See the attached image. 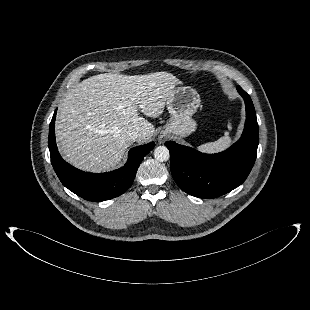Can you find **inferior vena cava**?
Masks as SVG:
<instances>
[{
  "label": "inferior vena cava",
  "instance_id": "obj_1",
  "mask_svg": "<svg viewBox=\"0 0 310 310\" xmlns=\"http://www.w3.org/2000/svg\"><path fill=\"white\" fill-rule=\"evenodd\" d=\"M128 135H129V138L131 139V141L134 142V141H137L138 139L141 138L142 133L138 130H132L129 132Z\"/></svg>",
  "mask_w": 310,
  "mask_h": 310
}]
</instances>
